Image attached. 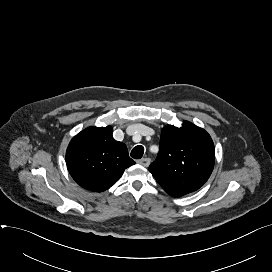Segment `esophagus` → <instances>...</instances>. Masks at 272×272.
<instances>
[{
	"label": "esophagus",
	"mask_w": 272,
	"mask_h": 272,
	"mask_svg": "<svg viewBox=\"0 0 272 272\" xmlns=\"http://www.w3.org/2000/svg\"><path fill=\"white\" fill-rule=\"evenodd\" d=\"M151 160L149 158H142L140 160L137 161L138 164L144 166V167H148L150 164Z\"/></svg>",
	"instance_id": "34e87169"
}]
</instances>
